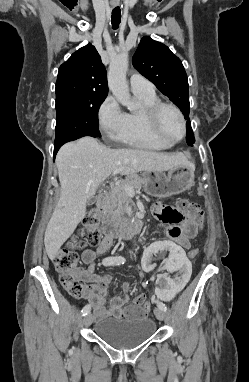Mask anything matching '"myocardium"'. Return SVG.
Here are the masks:
<instances>
[{"label": "myocardium", "mask_w": 249, "mask_h": 382, "mask_svg": "<svg viewBox=\"0 0 249 382\" xmlns=\"http://www.w3.org/2000/svg\"><path fill=\"white\" fill-rule=\"evenodd\" d=\"M166 108L173 110L181 121L183 131H182V135L179 138H176V139L170 138L164 133V131L161 128L160 115H161V112ZM144 114L151 131L158 138L166 142L174 144V143L180 142L186 136V133H187L186 118L183 112L180 110V108L176 106L175 104H172L169 102L157 101L156 103L146 107L144 109Z\"/></svg>", "instance_id": "obj_1"}]
</instances>
